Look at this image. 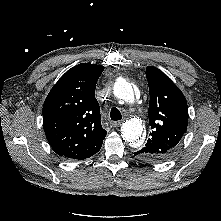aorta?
Segmentation results:
<instances>
[{
    "label": "aorta",
    "mask_w": 221,
    "mask_h": 221,
    "mask_svg": "<svg viewBox=\"0 0 221 221\" xmlns=\"http://www.w3.org/2000/svg\"><path fill=\"white\" fill-rule=\"evenodd\" d=\"M113 90L117 98L127 102L134 101L133 88L126 80H118L115 83ZM121 135L123 140L128 142L131 147H140L144 141V126L142 121L137 118L127 120L122 125Z\"/></svg>",
    "instance_id": "obj_1"
}]
</instances>
